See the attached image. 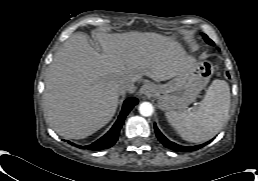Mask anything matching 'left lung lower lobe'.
<instances>
[{
	"label": "left lung lower lobe",
	"mask_w": 258,
	"mask_h": 181,
	"mask_svg": "<svg viewBox=\"0 0 258 181\" xmlns=\"http://www.w3.org/2000/svg\"><path fill=\"white\" fill-rule=\"evenodd\" d=\"M154 129H155V132H156V136L158 138V140L166 147V148H169L171 150H174V151H193V150H198L199 148H202L203 146H205L206 144H208L209 142L207 143H204V144H201V145H198V146H180L174 142H171L170 140H168L160 131L159 129L157 128L156 125H154Z\"/></svg>",
	"instance_id": "left-lung-lower-lobe-1"
}]
</instances>
